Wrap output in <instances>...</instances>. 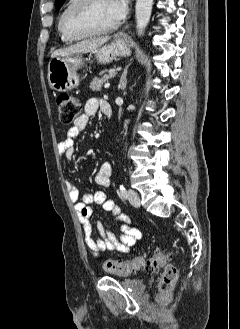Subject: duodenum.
<instances>
[{
	"mask_svg": "<svg viewBox=\"0 0 240 329\" xmlns=\"http://www.w3.org/2000/svg\"><path fill=\"white\" fill-rule=\"evenodd\" d=\"M102 111L106 115L107 118H111V116H112V107H111L109 102L103 101Z\"/></svg>",
	"mask_w": 240,
	"mask_h": 329,
	"instance_id": "obj_1",
	"label": "duodenum"
}]
</instances>
